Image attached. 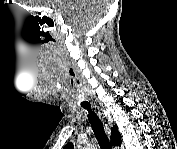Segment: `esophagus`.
I'll return each instance as SVG.
<instances>
[{
	"label": "esophagus",
	"mask_w": 177,
	"mask_h": 149,
	"mask_svg": "<svg viewBox=\"0 0 177 149\" xmlns=\"http://www.w3.org/2000/svg\"><path fill=\"white\" fill-rule=\"evenodd\" d=\"M112 124V120H108L107 124L105 125L107 133L110 132L109 126Z\"/></svg>",
	"instance_id": "esophagus-1"
}]
</instances>
